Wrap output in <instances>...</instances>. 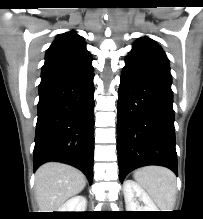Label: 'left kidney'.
Returning <instances> with one entry per match:
<instances>
[{"instance_id":"left-kidney-1","label":"left kidney","mask_w":203,"mask_h":219,"mask_svg":"<svg viewBox=\"0 0 203 219\" xmlns=\"http://www.w3.org/2000/svg\"><path fill=\"white\" fill-rule=\"evenodd\" d=\"M123 190L127 211H158L145 190L133 180H126ZM139 201H142L144 206L140 205Z\"/></svg>"}]
</instances>
